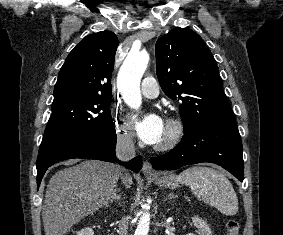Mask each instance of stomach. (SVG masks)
Segmentation results:
<instances>
[{"instance_id":"stomach-1","label":"stomach","mask_w":283,"mask_h":235,"mask_svg":"<svg viewBox=\"0 0 283 235\" xmlns=\"http://www.w3.org/2000/svg\"><path fill=\"white\" fill-rule=\"evenodd\" d=\"M148 177L151 180H153L156 184L170 189H175L179 186L177 176H175L174 174H169L167 176H148Z\"/></svg>"}]
</instances>
